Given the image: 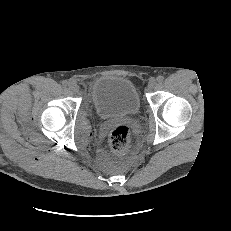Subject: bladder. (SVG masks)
I'll return each mask as SVG.
<instances>
[{
	"label": "bladder",
	"mask_w": 231,
	"mask_h": 231,
	"mask_svg": "<svg viewBox=\"0 0 231 231\" xmlns=\"http://www.w3.org/2000/svg\"><path fill=\"white\" fill-rule=\"evenodd\" d=\"M90 98L96 113L104 119L135 114L140 108L135 85L124 77L96 78L91 85Z\"/></svg>",
	"instance_id": "obj_1"
}]
</instances>
